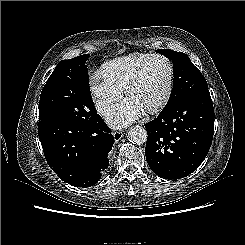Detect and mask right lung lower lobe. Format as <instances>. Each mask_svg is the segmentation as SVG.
<instances>
[{
	"mask_svg": "<svg viewBox=\"0 0 245 245\" xmlns=\"http://www.w3.org/2000/svg\"><path fill=\"white\" fill-rule=\"evenodd\" d=\"M38 134L48 165L72 186L94 185L109 165L108 156L115 141L97 113L88 125L39 120Z\"/></svg>",
	"mask_w": 245,
	"mask_h": 245,
	"instance_id": "98d812e1",
	"label": "right lung lower lobe"
}]
</instances>
